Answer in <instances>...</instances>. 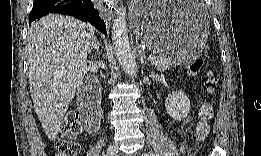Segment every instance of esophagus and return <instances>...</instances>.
<instances>
[{
  "label": "esophagus",
  "instance_id": "34e87169",
  "mask_svg": "<svg viewBox=\"0 0 261 156\" xmlns=\"http://www.w3.org/2000/svg\"><path fill=\"white\" fill-rule=\"evenodd\" d=\"M114 10H116V9H115L114 4H112V5H108V7L106 9L102 10V12H104V14L106 16H111V15H113Z\"/></svg>",
  "mask_w": 261,
  "mask_h": 156
}]
</instances>
